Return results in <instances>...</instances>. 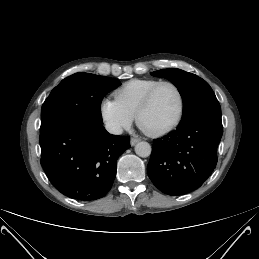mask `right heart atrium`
Here are the masks:
<instances>
[{
    "instance_id": "obj_1",
    "label": "right heart atrium",
    "mask_w": 259,
    "mask_h": 259,
    "mask_svg": "<svg viewBox=\"0 0 259 259\" xmlns=\"http://www.w3.org/2000/svg\"><path fill=\"white\" fill-rule=\"evenodd\" d=\"M100 115L107 127L115 133L131 126L133 116L127 113L115 99L106 97L100 104Z\"/></svg>"
}]
</instances>
